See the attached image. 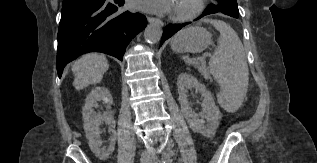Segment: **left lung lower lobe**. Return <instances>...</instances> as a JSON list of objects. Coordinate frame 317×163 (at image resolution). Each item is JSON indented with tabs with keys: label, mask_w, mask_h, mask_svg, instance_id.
<instances>
[{
	"label": "left lung lower lobe",
	"mask_w": 317,
	"mask_h": 163,
	"mask_svg": "<svg viewBox=\"0 0 317 163\" xmlns=\"http://www.w3.org/2000/svg\"><path fill=\"white\" fill-rule=\"evenodd\" d=\"M208 14H212L211 12L209 11H205L203 15H201L200 17H198L197 19L203 17L204 15H208ZM230 16V15H229ZM234 18H237L238 16H232ZM190 24V22H186V23H183V24H172V25H168L165 27L164 29V32H163V36H162V39H161V44H163V42L170 38L173 34H175L177 31H179L182 27L186 26Z\"/></svg>",
	"instance_id": "obj_1"
}]
</instances>
